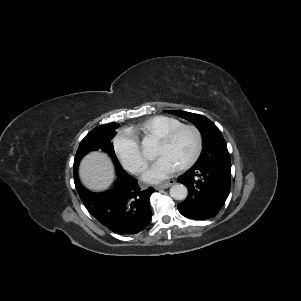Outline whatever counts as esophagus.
<instances>
[{"mask_svg": "<svg viewBox=\"0 0 301 301\" xmlns=\"http://www.w3.org/2000/svg\"><path fill=\"white\" fill-rule=\"evenodd\" d=\"M173 184H175V180L174 179H170L169 181H167L164 184L155 186V189H165V188L170 187Z\"/></svg>", "mask_w": 301, "mask_h": 301, "instance_id": "34e87169", "label": "esophagus"}]
</instances>
